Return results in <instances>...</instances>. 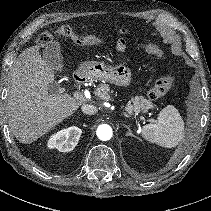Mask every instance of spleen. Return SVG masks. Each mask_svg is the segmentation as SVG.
Returning a JSON list of instances; mask_svg holds the SVG:
<instances>
[{"instance_id":"obj_1","label":"spleen","mask_w":211,"mask_h":211,"mask_svg":"<svg viewBox=\"0 0 211 211\" xmlns=\"http://www.w3.org/2000/svg\"><path fill=\"white\" fill-rule=\"evenodd\" d=\"M142 136L162 147H175L183 139L184 121L173 105H167L160 111L156 123L143 126Z\"/></svg>"}]
</instances>
